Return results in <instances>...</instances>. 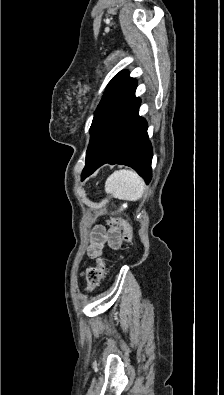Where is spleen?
Segmentation results:
<instances>
[{
  "mask_svg": "<svg viewBox=\"0 0 224 395\" xmlns=\"http://www.w3.org/2000/svg\"><path fill=\"white\" fill-rule=\"evenodd\" d=\"M145 183L133 170L122 169L112 173L105 182L106 193L120 200H139L144 193Z\"/></svg>",
  "mask_w": 224,
  "mask_h": 395,
  "instance_id": "3e777b00",
  "label": "spleen"
}]
</instances>
